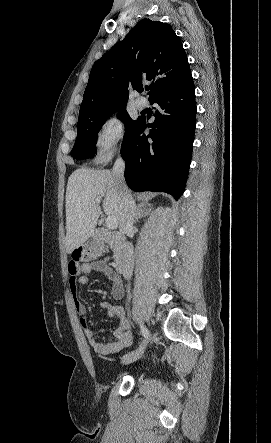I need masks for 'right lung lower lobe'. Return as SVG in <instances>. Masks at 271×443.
Wrapping results in <instances>:
<instances>
[{
    "label": "right lung lower lobe",
    "mask_w": 271,
    "mask_h": 443,
    "mask_svg": "<svg viewBox=\"0 0 271 443\" xmlns=\"http://www.w3.org/2000/svg\"><path fill=\"white\" fill-rule=\"evenodd\" d=\"M155 121L138 118L125 134L121 154L125 180L134 191H163L176 200L184 192L196 126L193 78L154 96ZM151 127L148 136L142 134Z\"/></svg>",
    "instance_id": "right-lung-lower-lobe-1"
}]
</instances>
